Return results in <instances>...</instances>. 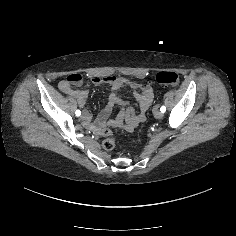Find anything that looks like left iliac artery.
<instances>
[{
	"instance_id": "44dca946",
	"label": "left iliac artery",
	"mask_w": 236,
	"mask_h": 236,
	"mask_svg": "<svg viewBox=\"0 0 236 236\" xmlns=\"http://www.w3.org/2000/svg\"><path fill=\"white\" fill-rule=\"evenodd\" d=\"M160 111H161L162 113H164V112L166 111V107H165V106H162V107L160 108Z\"/></svg>"
}]
</instances>
